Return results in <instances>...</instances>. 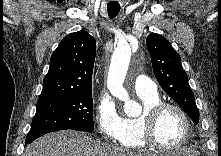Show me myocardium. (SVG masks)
<instances>
[{
	"label": "myocardium",
	"mask_w": 221,
	"mask_h": 156,
	"mask_svg": "<svg viewBox=\"0 0 221 156\" xmlns=\"http://www.w3.org/2000/svg\"><path fill=\"white\" fill-rule=\"evenodd\" d=\"M168 109L176 111L184 121L185 135L182 141L176 146H165L161 144L155 135L156 125L161 115ZM192 134V125L189 116L179 105L171 102H163L146 109L140 118V135L143 142L153 148L163 151H175L182 148L189 141Z\"/></svg>",
	"instance_id": "f54148a6"
}]
</instances>
